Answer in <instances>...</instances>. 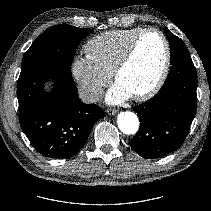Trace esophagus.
<instances>
[{
	"label": "esophagus",
	"instance_id": "esophagus-1",
	"mask_svg": "<svg viewBox=\"0 0 211 211\" xmlns=\"http://www.w3.org/2000/svg\"><path fill=\"white\" fill-rule=\"evenodd\" d=\"M118 113L117 109H107V114L112 116V115H116Z\"/></svg>",
	"mask_w": 211,
	"mask_h": 211
}]
</instances>
